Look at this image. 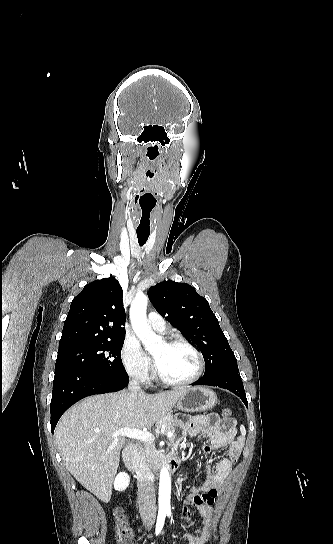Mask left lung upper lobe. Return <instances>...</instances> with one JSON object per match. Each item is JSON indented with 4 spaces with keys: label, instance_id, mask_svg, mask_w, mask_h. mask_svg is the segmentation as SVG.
<instances>
[{
    "label": "left lung upper lobe",
    "instance_id": "obj_1",
    "mask_svg": "<svg viewBox=\"0 0 333 544\" xmlns=\"http://www.w3.org/2000/svg\"><path fill=\"white\" fill-rule=\"evenodd\" d=\"M148 296L157 312L198 346L205 360L204 376L225 370L239 371L208 301L194 287L168 280L152 286Z\"/></svg>",
    "mask_w": 333,
    "mask_h": 544
}]
</instances>
